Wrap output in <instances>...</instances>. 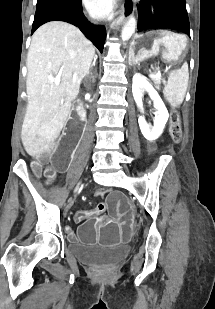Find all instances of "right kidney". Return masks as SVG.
<instances>
[{"mask_svg":"<svg viewBox=\"0 0 215 309\" xmlns=\"http://www.w3.org/2000/svg\"><path fill=\"white\" fill-rule=\"evenodd\" d=\"M79 114H81L82 118H85V116H86V112H84V110H81V112H79Z\"/></svg>","mask_w":215,"mask_h":309,"instance_id":"ca27d5eb","label":"right kidney"}]
</instances>
